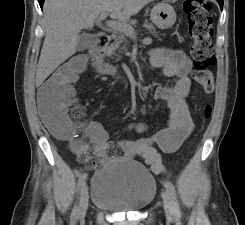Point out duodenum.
I'll return each mask as SVG.
<instances>
[{"instance_id":"obj_1","label":"duodenum","mask_w":245,"mask_h":225,"mask_svg":"<svg viewBox=\"0 0 245 225\" xmlns=\"http://www.w3.org/2000/svg\"><path fill=\"white\" fill-rule=\"evenodd\" d=\"M110 41V36L107 33H99L96 36L95 44L90 49L89 54L93 62L94 69L102 74L111 75L116 68L108 63L102 62V57L105 54Z\"/></svg>"}]
</instances>
